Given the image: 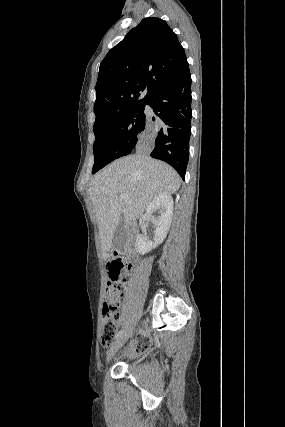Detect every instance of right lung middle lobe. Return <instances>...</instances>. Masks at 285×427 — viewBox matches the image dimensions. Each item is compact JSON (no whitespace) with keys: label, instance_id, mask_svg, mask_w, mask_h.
<instances>
[{"label":"right lung middle lobe","instance_id":"dd1d6c3e","mask_svg":"<svg viewBox=\"0 0 285 427\" xmlns=\"http://www.w3.org/2000/svg\"><path fill=\"white\" fill-rule=\"evenodd\" d=\"M147 103L125 108L94 126L93 174L113 160L128 155L141 140L147 119L144 113Z\"/></svg>","mask_w":285,"mask_h":427}]
</instances>
